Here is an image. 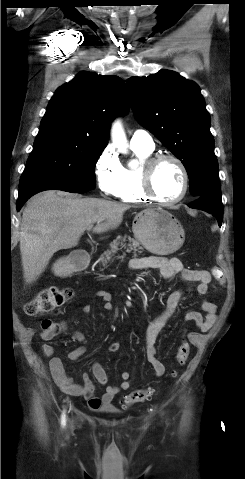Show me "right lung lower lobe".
Listing matches in <instances>:
<instances>
[{"mask_svg": "<svg viewBox=\"0 0 245 479\" xmlns=\"http://www.w3.org/2000/svg\"><path fill=\"white\" fill-rule=\"evenodd\" d=\"M62 190L71 193H83L88 191V189L79 188L75 186H70L67 184L51 181H42L27 184L19 188L18 200H17V211L21 209L24 203L34 194L44 191V190Z\"/></svg>", "mask_w": 245, "mask_h": 479, "instance_id": "98d812e1", "label": "right lung lower lobe"}]
</instances>
